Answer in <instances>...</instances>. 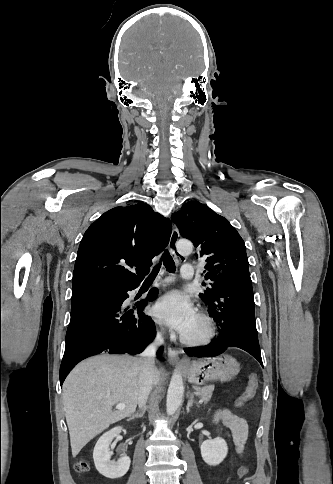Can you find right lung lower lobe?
<instances>
[{"label": "right lung lower lobe", "instance_id": "98d812e1", "mask_svg": "<svg viewBox=\"0 0 333 484\" xmlns=\"http://www.w3.org/2000/svg\"><path fill=\"white\" fill-rule=\"evenodd\" d=\"M130 288L94 284L73 288L71 320L60 367L62 385L67 374L81 360L99 353L138 354L154 339V321L142 306L124 307ZM148 297L150 301L157 296ZM161 353V349L158 354Z\"/></svg>", "mask_w": 333, "mask_h": 484}]
</instances>
